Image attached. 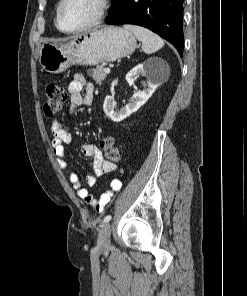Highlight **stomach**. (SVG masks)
Instances as JSON below:
<instances>
[{
  "mask_svg": "<svg viewBox=\"0 0 247 296\" xmlns=\"http://www.w3.org/2000/svg\"><path fill=\"white\" fill-rule=\"evenodd\" d=\"M137 46L135 36L123 28L105 26L80 33L68 42H45L39 51V63L52 74L72 65L94 66L131 55Z\"/></svg>",
  "mask_w": 247,
  "mask_h": 296,
  "instance_id": "stomach-1",
  "label": "stomach"
}]
</instances>
